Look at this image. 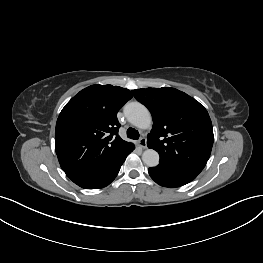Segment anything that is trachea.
Listing matches in <instances>:
<instances>
[{
  "label": "trachea",
  "instance_id": "1",
  "mask_svg": "<svg viewBox=\"0 0 263 263\" xmlns=\"http://www.w3.org/2000/svg\"><path fill=\"white\" fill-rule=\"evenodd\" d=\"M139 132L135 130L134 128H128L127 129V137L133 140L139 139Z\"/></svg>",
  "mask_w": 263,
  "mask_h": 263
}]
</instances>
